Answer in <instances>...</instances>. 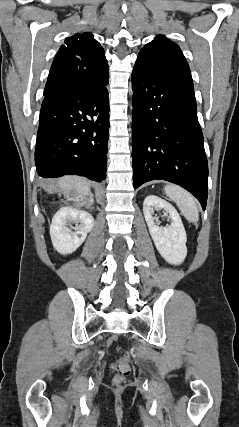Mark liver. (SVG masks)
Returning <instances> with one entry per match:
<instances>
[{
	"instance_id": "6515ba94",
	"label": "liver",
	"mask_w": 239,
	"mask_h": 427,
	"mask_svg": "<svg viewBox=\"0 0 239 427\" xmlns=\"http://www.w3.org/2000/svg\"><path fill=\"white\" fill-rule=\"evenodd\" d=\"M91 182L80 176H64L54 184L47 187V190L52 193L56 190L62 191L66 196H71L77 207L88 206L92 203L90 194ZM90 196V199L87 197Z\"/></svg>"
}]
</instances>
